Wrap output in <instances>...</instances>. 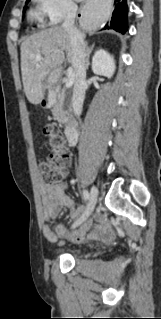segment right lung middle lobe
I'll return each mask as SVG.
<instances>
[{
    "mask_svg": "<svg viewBox=\"0 0 161 319\" xmlns=\"http://www.w3.org/2000/svg\"><path fill=\"white\" fill-rule=\"evenodd\" d=\"M29 1H30V0H27V1H26V4H27ZM25 9H26V7L24 8V11H25Z\"/></svg>",
    "mask_w": 161,
    "mask_h": 319,
    "instance_id": "obj_1",
    "label": "right lung middle lobe"
}]
</instances>
